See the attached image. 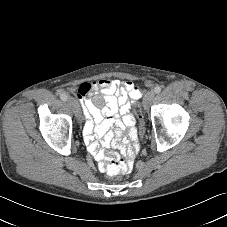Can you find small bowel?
I'll return each instance as SVG.
<instances>
[{
	"mask_svg": "<svg viewBox=\"0 0 227 227\" xmlns=\"http://www.w3.org/2000/svg\"><path fill=\"white\" fill-rule=\"evenodd\" d=\"M142 94V90L130 80L100 79L80 85L77 95L86 118L84 141L102 171L105 168L101 161L107 149L119 148L130 161L137 153L138 145L130 143L138 139L134 127L136 119L130 109ZM125 132L127 137H123Z\"/></svg>",
	"mask_w": 227,
	"mask_h": 227,
	"instance_id": "small-bowel-1",
	"label": "small bowel"
}]
</instances>
